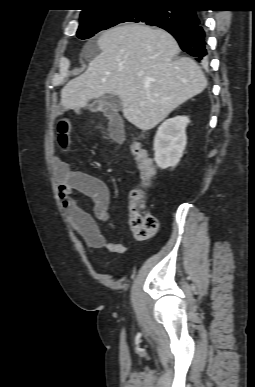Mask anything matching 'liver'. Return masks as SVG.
<instances>
[{
    "instance_id": "6515ba94",
    "label": "liver",
    "mask_w": 255,
    "mask_h": 387,
    "mask_svg": "<svg viewBox=\"0 0 255 387\" xmlns=\"http://www.w3.org/2000/svg\"><path fill=\"white\" fill-rule=\"evenodd\" d=\"M97 45L101 53L61 89L65 109L79 110L91 99L117 95L125 119L147 131L207 86L193 59L176 57L178 43L163 29L117 26L103 32Z\"/></svg>"
}]
</instances>
